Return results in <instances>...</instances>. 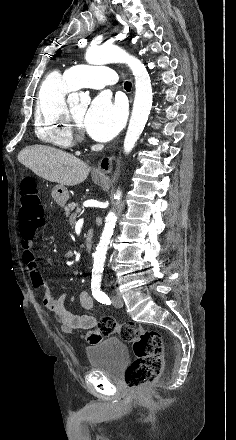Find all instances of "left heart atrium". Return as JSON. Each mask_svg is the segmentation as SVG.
Listing matches in <instances>:
<instances>
[{
    "label": "left heart atrium",
    "mask_w": 236,
    "mask_h": 440,
    "mask_svg": "<svg viewBox=\"0 0 236 440\" xmlns=\"http://www.w3.org/2000/svg\"><path fill=\"white\" fill-rule=\"evenodd\" d=\"M124 122V109L118 102H113L106 94L96 97L84 117V128L97 141L112 139Z\"/></svg>",
    "instance_id": "obj_1"
}]
</instances>
